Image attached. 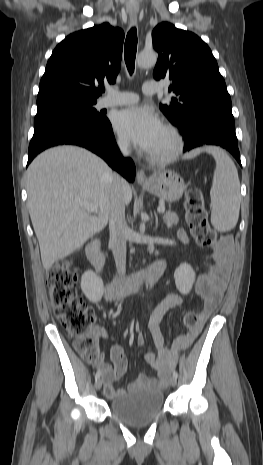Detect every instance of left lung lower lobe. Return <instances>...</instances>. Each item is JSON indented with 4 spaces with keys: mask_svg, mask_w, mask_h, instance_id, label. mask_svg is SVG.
<instances>
[{
    "mask_svg": "<svg viewBox=\"0 0 263 465\" xmlns=\"http://www.w3.org/2000/svg\"><path fill=\"white\" fill-rule=\"evenodd\" d=\"M180 130L185 140L184 152L203 145H217L228 150L241 164L233 115L207 108L188 128Z\"/></svg>",
    "mask_w": 263,
    "mask_h": 465,
    "instance_id": "obj_1",
    "label": "left lung lower lobe"
}]
</instances>
